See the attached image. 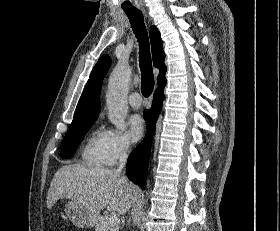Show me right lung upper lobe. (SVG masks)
<instances>
[{
	"instance_id": "right-lung-upper-lobe-1",
	"label": "right lung upper lobe",
	"mask_w": 280,
	"mask_h": 231,
	"mask_svg": "<svg viewBox=\"0 0 280 231\" xmlns=\"http://www.w3.org/2000/svg\"><path fill=\"white\" fill-rule=\"evenodd\" d=\"M149 34L153 64L159 69V75L157 77L159 88L157 89H160L165 86V73L167 70L166 65L164 64L165 53L163 51V42L161 40L160 32L155 26L150 27ZM110 64V57L108 55H103L94 66L76 107L75 115L70 127L89 121H95L98 118L100 113L99 94L103 78L107 73Z\"/></svg>"
}]
</instances>
